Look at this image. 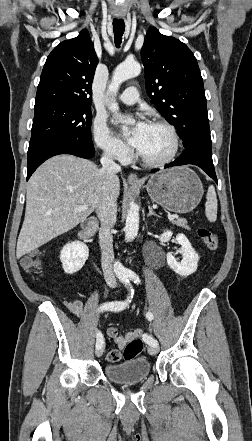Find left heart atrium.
<instances>
[{
    "label": "left heart atrium",
    "instance_id": "39dd6f15",
    "mask_svg": "<svg viewBox=\"0 0 252 441\" xmlns=\"http://www.w3.org/2000/svg\"><path fill=\"white\" fill-rule=\"evenodd\" d=\"M124 121V118L122 117H116L114 119V122L116 124H120ZM149 124L142 120H138L135 127L133 128V131L131 135L128 137L129 144L137 149L138 151L141 149L145 137L146 130L148 128Z\"/></svg>",
    "mask_w": 252,
    "mask_h": 441
}]
</instances>
